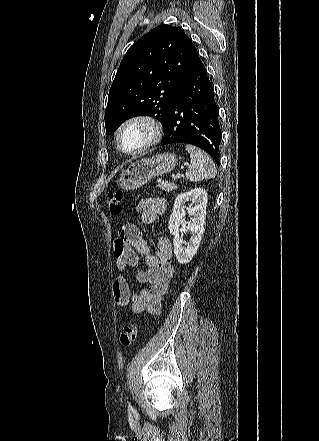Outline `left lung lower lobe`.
<instances>
[{
	"label": "left lung lower lobe",
	"mask_w": 319,
	"mask_h": 441,
	"mask_svg": "<svg viewBox=\"0 0 319 441\" xmlns=\"http://www.w3.org/2000/svg\"><path fill=\"white\" fill-rule=\"evenodd\" d=\"M213 87L202 62L181 84L173 101L161 145L188 143L219 163L221 130Z\"/></svg>",
	"instance_id": "left-lung-lower-lobe-1"
}]
</instances>
